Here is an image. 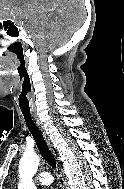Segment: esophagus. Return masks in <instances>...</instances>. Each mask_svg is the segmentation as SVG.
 <instances>
[{"instance_id": "34e87169", "label": "esophagus", "mask_w": 124, "mask_h": 189, "mask_svg": "<svg viewBox=\"0 0 124 189\" xmlns=\"http://www.w3.org/2000/svg\"><path fill=\"white\" fill-rule=\"evenodd\" d=\"M32 117H33L35 123L37 124V126L39 127L40 131L42 132V134L44 136V139L46 140L47 144L51 145L50 141H49V138H48V136H47V134L45 132V129H44L43 125L41 124V122H40L38 116L36 115V113H32ZM63 189H65V186L63 187Z\"/></svg>"}]
</instances>
